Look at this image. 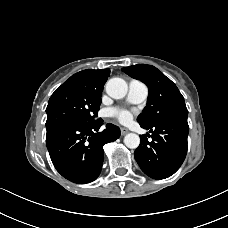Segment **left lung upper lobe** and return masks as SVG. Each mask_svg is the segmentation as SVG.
Returning <instances> with one entry per match:
<instances>
[{
    "label": "left lung upper lobe",
    "mask_w": 228,
    "mask_h": 228,
    "mask_svg": "<svg viewBox=\"0 0 228 228\" xmlns=\"http://www.w3.org/2000/svg\"><path fill=\"white\" fill-rule=\"evenodd\" d=\"M122 71L148 86L146 107L137 118L140 125L151 127L163 120L188 115L184 97L176 85L156 67L138 64L124 67Z\"/></svg>",
    "instance_id": "5c2ea615"
}]
</instances>
